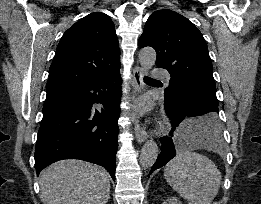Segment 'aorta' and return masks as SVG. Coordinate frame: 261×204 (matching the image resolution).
<instances>
[{
    "instance_id": "1",
    "label": "aorta",
    "mask_w": 261,
    "mask_h": 204,
    "mask_svg": "<svg viewBox=\"0 0 261 204\" xmlns=\"http://www.w3.org/2000/svg\"><path fill=\"white\" fill-rule=\"evenodd\" d=\"M138 57L140 65L145 70H149L155 65L156 52L152 47H145L141 49ZM158 154L159 149L157 143L153 139L146 141L141 150L140 165L145 169L152 167L158 157Z\"/></svg>"
}]
</instances>
